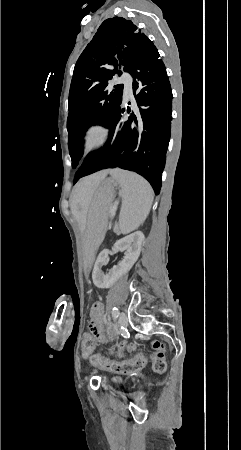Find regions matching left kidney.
<instances>
[{"instance_id": "1", "label": "left kidney", "mask_w": 241, "mask_h": 450, "mask_svg": "<svg viewBox=\"0 0 241 450\" xmlns=\"http://www.w3.org/2000/svg\"><path fill=\"white\" fill-rule=\"evenodd\" d=\"M144 240L145 238L142 232H134V234H130V236H126V238H122V240H118L115 244V248L118 252L126 250L124 260L119 262L117 266H114L112 270H109L108 274H104L101 268L107 264L109 250L100 252L92 274V280L95 286H97V288H111L123 274H127L132 266H134L135 262H137Z\"/></svg>"}]
</instances>
